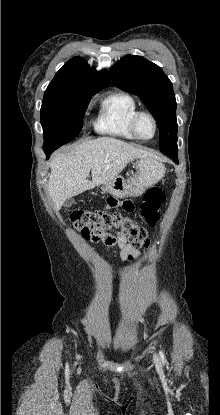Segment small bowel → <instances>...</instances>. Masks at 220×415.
<instances>
[{"label":"small bowel","mask_w":220,"mask_h":415,"mask_svg":"<svg viewBox=\"0 0 220 415\" xmlns=\"http://www.w3.org/2000/svg\"><path fill=\"white\" fill-rule=\"evenodd\" d=\"M131 209H126V211H131ZM81 234L89 242L94 244L104 242L109 248L118 249L123 256L134 251L133 247L128 243L126 235L121 231H117L115 234L106 231H103L101 234L95 232L84 233L81 231Z\"/></svg>","instance_id":"1"}]
</instances>
